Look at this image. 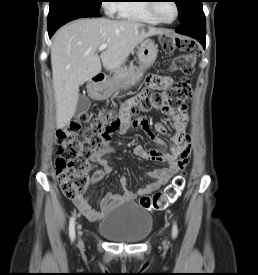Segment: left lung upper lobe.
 <instances>
[{
	"label": "left lung upper lobe",
	"instance_id": "1",
	"mask_svg": "<svg viewBox=\"0 0 258 275\" xmlns=\"http://www.w3.org/2000/svg\"><path fill=\"white\" fill-rule=\"evenodd\" d=\"M197 1L198 0H175L178 7L180 21H183L186 18L191 6Z\"/></svg>",
	"mask_w": 258,
	"mask_h": 275
}]
</instances>
